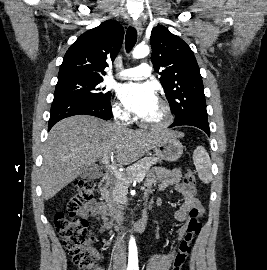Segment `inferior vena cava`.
Here are the masks:
<instances>
[{
	"label": "inferior vena cava",
	"instance_id": "602c4592",
	"mask_svg": "<svg viewBox=\"0 0 267 270\" xmlns=\"http://www.w3.org/2000/svg\"><path fill=\"white\" fill-rule=\"evenodd\" d=\"M115 124L119 126H126L125 123H119L116 122ZM117 212L121 213L120 211L116 210ZM117 229H120V225L117 227ZM116 248L117 252L115 254V261L123 266L126 265V247H125V241H124V235L122 232H120L117 236V242H116Z\"/></svg>",
	"mask_w": 267,
	"mask_h": 270
}]
</instances>
